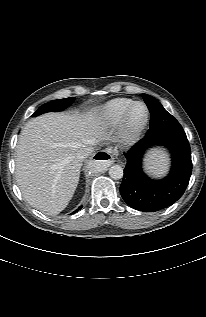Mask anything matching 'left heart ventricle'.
<instances>
[{"label": "left heart ventricle", "mask_w": 206, "mask_h": 317, "mask_svg": "<svg viewBox=\"0 0 206 317\" xmlns=\"http://www.w3.org/2000/svg\"><path fill=\"white\" fill-rule=\"evenodd\" d=\"M145 115V109L143 106H137L132 114V119L134 122H139L140 120L143 119Z\"/></svg>", "instance_id": "left-heart-ventricle-1"}]
</instances>
